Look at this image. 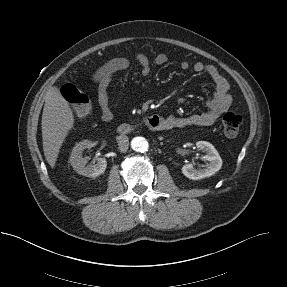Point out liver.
<instances>
[{
	"instance_id": "obj_1",
	"label": "liver",
	"mask_w": 287,
	"mask_h": 287,
	"mask_svg": "<svg viewBox=\"0 0 287 287\" xmlns=\"http://www.w3.org/2000/svg\"><path fill=\"white\" fill-rule=\"evenodd\" d=\"M42 114L43 151L48 164L53 168L69 130L74 125V115L69 103L54 86L45 94Z\"/></svg>"
}]
</instances>
